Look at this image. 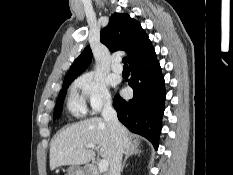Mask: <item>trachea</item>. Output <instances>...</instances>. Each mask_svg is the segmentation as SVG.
<instances>
[{
  "instance_id": "trachea-1",
  "label": "trachea",
  "mask_w": 233,
  "mask_h": 175,
  "mask_svg": "<svg viewBox=\"0 0 233 175\" xmlns=\"http://www.w3.org/2000/svg\"><path fill=\"white\" fill-rule=\"evenodd\" d=\"M127 61H128L127 57H124L122 59V62L124 63V67H127Z\"/></svg>"
}]
</instances>
